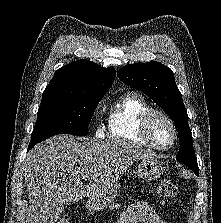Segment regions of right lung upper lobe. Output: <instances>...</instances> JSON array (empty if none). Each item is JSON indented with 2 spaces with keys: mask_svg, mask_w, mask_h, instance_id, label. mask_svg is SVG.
Segmentation results:
<instances>
[{
  "mask_svg": "<svg viewBox=\"0 0 221 223\" xmlns=\"http://www.w3.org/2000/svg\"><path fill=\"white\" fill-rule=\"evenodd\" d=\"M115 69H104L89 60H77L58 69L43 92L41 102L75 99L102 98L111 87Z\"/></svg>",
  "mask_w": 221,
  "mask_h": 223,
  "instance_id": "cb5924a9",
  "label": "right lung upper lobe"
}]
</instances>
